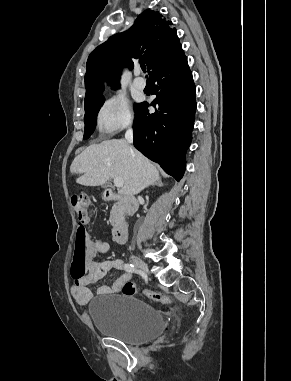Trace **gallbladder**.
<instances>
[{
	"instance_id": "1",
	"label": "gallbladder",
	"mask_w": 291,
	"mask_h": 381,
	"mask_svg": "<svg viewBox=\"0 0 291 381\" xmlns=\"http://www.w3.org/2000/svg\"><path fill=\"white\" fill-rule=\"evenodd\" d=\"M107 186H108V183H106V184L103 185L104 188L107 187Z\"/></svg>"
}]
</instances>
